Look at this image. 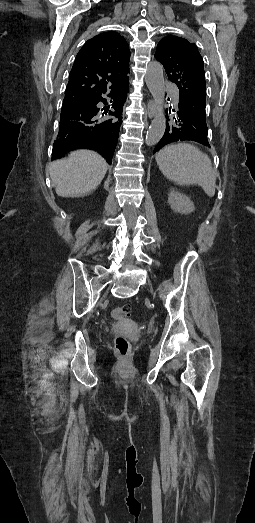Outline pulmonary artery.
Segmentation results:
<instances>
[{
  "instance_id": "e3ab8cb5",
  "label": "pulmonary artery",
  "mask_w": 255,
  "mask_h": 523,
  "mask_svg": "<svg viewBox=\"0 0 255 523\" xmlns=\"http://www.w3.org/2000/svg\"><path fill=\"white\" fill-rule=\"evenodd\" d=\"M166 84H167L166 88H167L168 98L170 100L169 105L171 108L176 109L180 105V102L178 100V98H179L178 85L172 79H169L168 81H166Z\"/></svg>"
}]
</instances>
